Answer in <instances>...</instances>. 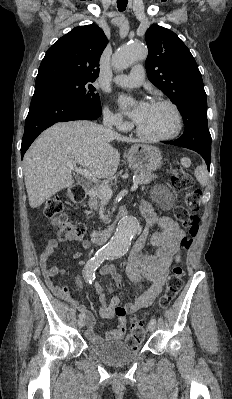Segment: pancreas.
Returning a JSON list of instances; mask_svg holds the SVG:
<instances>
[{"label":"pancreas","mask_w":232,"mask_h":399,"mask_svg":"<svg viewBox=\"0 0 232 399\" xmlns=\"http://www.w3.org/2000/svg\"><path fill=\"white\" fill-rule=\"evenodd\" d=\"M135 176V182H137L139 186H145V184H150V182H152L154 178H157V176H154V174H151V172H137ZM105 186L111 188V186H115V184H113V182H108V184H105ZM88 196H90V200L88 201V203L91 209H98V207H102L103 201L106 200L105 194L101 192L98 186H95L93 190H90V192H88Z\"/></svg>","instance_id":"obj_1"}]
</instances>
